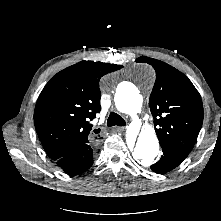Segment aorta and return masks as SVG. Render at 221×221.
I'll use <instances>...</instances> for the list:
<instances>
[{
  "mask_svg": "<svg viewBox=\"0 0 221 221\" xmlns=\"http://www.w3.org/2000/svg\"><path fill=\"white\" fill-rule=\"evenodd\" d=\"M139 77L146 80L154 79V70L147 64H139L136 69ZM115 106L121 113L134 115L141 111L143 99L137 88L130 83L122 89H117L114 97ZM159 154V141L154 128L147 126L141 130L133 149V158L142 165H150Z\"/></svg>",
  "mask_w": 221,
  "mask_h": 221,
  "instance_id": "762f6f07",
  "label": "aorta"
}]
</instances>
